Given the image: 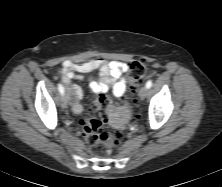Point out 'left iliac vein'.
<instances>
[{"instance_id":"1","label":"left iliac vein","mask_w":222,"mask_h":187,"mask_svg":"<svg viewBox=\"0 0 222 187\" xmlns=\"http://www.w3.org/2000/svg\"><path fill=\"white\" fill-rule=\"evenodd\" d=\"M148 94V88L146 86L142 87L139 91V97L141 100L145 99Z\"/></svg>"}]
</instances>
